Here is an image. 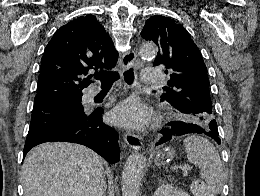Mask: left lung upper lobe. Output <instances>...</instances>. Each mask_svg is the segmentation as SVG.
<instances>
[{
	"mask_svg": "<svg viewBox=\"0 0 260 196\" xmlns=\"http://www.w3.org/2000/svg\"><path fill=\"white\" fill-rule=\"evenodd\" d=\"M141 36L159 47L154 66H164L165 73H170L169 87H165L167 93L160 96L161 101L168 102L178 118L187 123L207 128L216 121L207 69L186 29L166 16L154 15L146 21Z\"/></svg>",
	"mask_w": 260,
	"mask_h": 196,
	"instance_id": "1",
	"label": "left lung upper lobe"
}]
</instances>
